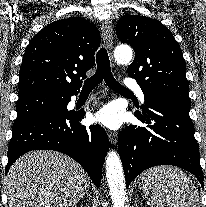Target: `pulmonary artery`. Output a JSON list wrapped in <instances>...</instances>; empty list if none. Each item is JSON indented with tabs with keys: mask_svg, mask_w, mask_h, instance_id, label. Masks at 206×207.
Returning a JSON list of instances; mask_svg holds the SVG:
<instances>
[{
	"mask_svg": "<svg viewBox=\"0 0 206 207\" xmlns=\"http://www.w3.org/2000/svg\"><path fill=\"white\" fill-rule=\"evenodd\" d=\"M127 86L133 90L137 95L138 97L143 101L144 100V93L142 91V89L140 88L139 85H137L136 83H133L131 81H128L127 82Z\"/></svg>",
	"mask_w": 206,
	"mask_h": 207,
	"instance_id": "1",
	"label": "pulmonary artery"
}]
</instances>
